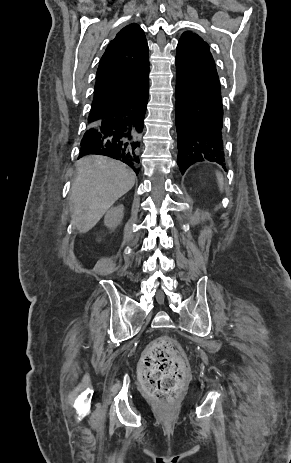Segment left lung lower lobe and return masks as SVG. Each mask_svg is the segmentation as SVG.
Wrapping results in <instances>:
<instances>
[{"instance_id":"1","label":"left lung lower lobe","mask_w":291,"mask_h":463,"mask_svg":"<svg viewBox=\"0 0 291 463\" xmlns=\"http://www.w3.org/2000/svg\"><path fill=\"white\" fill-rule=\"evenodd\" d=\"M221 91L176 72L177 164L182 174L196 162L225 168Z\"/></svg>"}]
</instances>
